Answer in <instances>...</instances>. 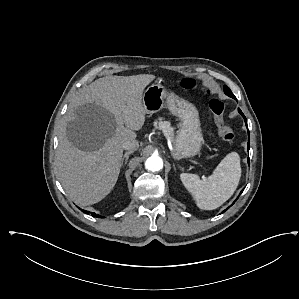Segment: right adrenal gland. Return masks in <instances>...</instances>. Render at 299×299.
<instances>
[{"mask_svg": "<svg viewBox=\"0 0 299 299\" xmlns=\"http://www.w3.org/2000/svg\"><path fill=\"white\" fill-rule=\"evenodd\" d=\"M131 153H132V151H127V152L124 153V156H123V159H122V166H123V163H124V165H126L127 160H128V158H129V155H130Z\"/></svg>", "mask_w": 299, "mask_h": 299, "instance_id": "2a0ac1e0", "label": "right adrenal gland"}]
</instances>
